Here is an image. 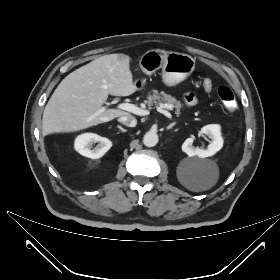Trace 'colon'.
<instances>
[{"instance_id": "5ec220e1", "label": "colon", "mask_w": 280, "mask_h": 280, "mask_svg": "<svg viewBox=\"0 0 280 280\" xmlns=\"http://www.w3.org/2000/svg\"><path fill=\"white\" fill-rule=\"evenodd\" d=\"M204 86L207 89H210L212 86L211 81L206 80ZM218 95L221 99L223 105L228 111H235L237 108V101L233 91L227 86H220L218 88Z\"/></svg>"}]
</instances>
